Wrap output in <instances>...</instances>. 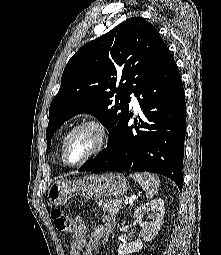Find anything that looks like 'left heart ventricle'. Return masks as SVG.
<instances>
[{
	"label": "left heart ventricle",
	"mask_w": 221,
	"mask_h": 255,
	"mask_svg": "<svg viewBox=\"0 0 221 255\" xmlns=\"http://www.w3.org/2000/svg\"><path fill=\"white\" fill-rule=\"evenodd\" d=\"M96 133L89 128L76 132L68 141L66 158L68 162L75 163L88 155L96 144Z\"/></svg>",
	"instance_id": "b2bd125f"
}]
</instances>
